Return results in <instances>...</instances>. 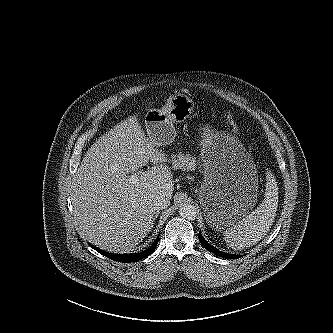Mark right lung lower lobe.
Wrapping results in <instances>:
<instances>
[{"instance_id":"right-lung-lower-lobe-1","label":"right lung lower lobe","mask_w":333,"mask_h":333,"mask_svg":"<svg viewBox=\"0 0 333 333\" xmlns=\"http://www.w3.org/2000/svg\"><path fill=\"white\" fill-rule=\"evenodd\" d=\"M159 241V237L157 236L156 240L153 242V244L146 250L140 252V253H132V254H112L105 252L103 250H100L93 245H90L93 249H95L97 252L100 254L108 257L109 259H112L114 261L122 262V263H129V262H136L139 261L148 255L152 254L153 251L155 250L157 244Z\"/></svg>"}]
</instances>
